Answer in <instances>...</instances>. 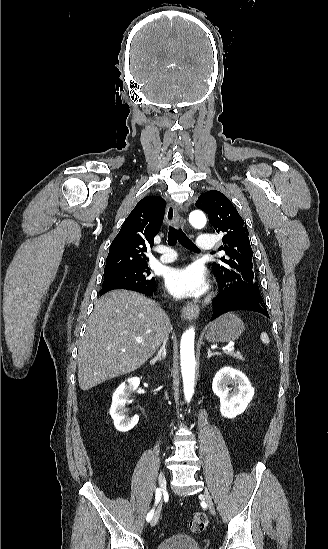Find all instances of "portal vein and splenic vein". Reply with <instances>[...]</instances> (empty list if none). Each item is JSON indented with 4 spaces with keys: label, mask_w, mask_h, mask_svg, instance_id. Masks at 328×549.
<instances>
[{
    "label": "portal vein and splenic vein",
    "mask_w": 328,
    "mask_h": 549,
    "mask_svg": "<svg viewBox=\"0 0 328 549\" xmlns=\"http://www.w3.org/2000/svg\"><path fill=\"white\" fill-rule=\"evenodd\" d=\"M136 343H142V339L141 337H139V339H135ZM228 353H231V351H235V348L234 347H228L227 349Z\"/></svg>",
    "instance_id": "18ae733b"
}]
</instances>
